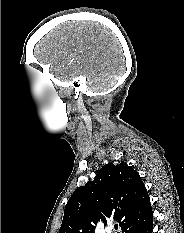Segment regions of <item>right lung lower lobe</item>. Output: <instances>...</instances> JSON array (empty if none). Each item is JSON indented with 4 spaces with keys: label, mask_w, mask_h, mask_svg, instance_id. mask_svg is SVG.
<instances>
[{
    "label": "right lung lower lobe",
    "mask_w": 184,
    "mask_h": 233,
    "mask_svg": "<svg viewBox=\"0 0 184 233\" xmlns=\"http://www.w3.org/2000/svg\"><path fill=\"white\" fill-rule=\"evenodd\" d=\"M153 212L151 205L137 218L122 227V233H152Z\"/></svg>",
    "instance_id": "right-lung-lower-lobe-1"
}]
</instances>
